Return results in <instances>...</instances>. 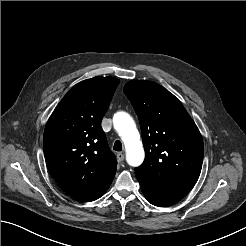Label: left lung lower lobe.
<instances>
[{"label": "left lung lower lobe", "instance_id": "obj_1", "mask_svg": "<svg viewBox=\"0 0 246 246\" xmlns=\"http://www.w3.org/2000/svg\"><path fill=\"white\" fill-rule=\"evenodd\" d=\"M135 175L146 199L155 206L167 207L173 205L188 193V190L170 186L139 174Z\"/></svg>", "mask_w": 246, "mask_h": 246}]
</instances>
